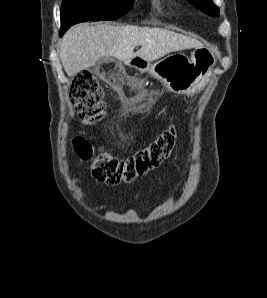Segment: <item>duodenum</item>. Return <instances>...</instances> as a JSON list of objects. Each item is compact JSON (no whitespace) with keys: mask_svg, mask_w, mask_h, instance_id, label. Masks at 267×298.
Masks as SVG:
<instances>
[{"mask_svg":"<svg viewBox=\"0 0 267 298\" xmlns=\"http://www.w3.org/2000/svg\"><path fill=\"white\" fill-rule=\"evenodd\" d=\"M131 66L138 67L136 64L130 63Z\"/></svg>","mask_w":267,"mask_h":298,"instance_id":"1","label":"duodenum"}]
</instances>
